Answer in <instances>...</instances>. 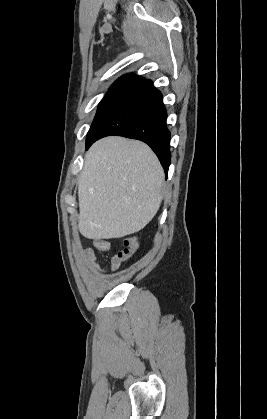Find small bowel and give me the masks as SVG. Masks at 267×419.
I'll use <instances>...</instances> for the list:
<instances>
[{"label": "small bowel", "mask_w": 267, "mask_h": 419, "mask_svg": "<svg viewBox=\"0 0 267 419\" xmlns=\"http://www.w3.org/2000/svg\"><path fill=\"white\" fill-rule=\"evenodd\" d=\"M94 246L101 251H109L110 250V245L107 241L103 240V239H96L94 241ZM84 258L85 260L90 264V268L92 270V272L94 273H101L102 270L97 262V258L95 255V252L90 249L87 248L84 250L83 252ZM110 266L112 268V270H116L119 266H120V261L117 258L116 254L111 255L110 257Z\"/></svg>", "instance_id": "obj_1"}]
</instances>
